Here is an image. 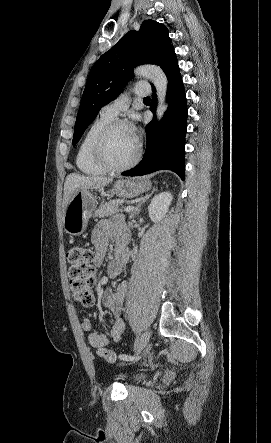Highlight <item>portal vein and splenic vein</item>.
Segmentation results:
<instances>
[{"label":"portal vein and splenic vein","mask_w":271,"mask_h":443,"mask_svg":"<svg viewBox=\"0 0 271 443\" xmlns=\"http://www.w3.org/2000/svg\"><path fill=\"white\" fill-rule=\"evenodd\" d=\"M134 210V206H127V208H125V212H133Z\"/></svg>","instance_id":"1"}]
</instances>
